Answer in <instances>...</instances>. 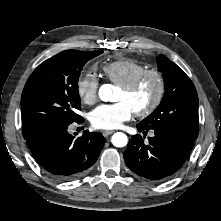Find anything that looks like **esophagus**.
<instances>
[{"label":"esophagus","instance_id":"esophagus-1","mask_svg":"<svg viewBox=\"0 0 221 221\" xmlns=\"http://www.w3.org/2000/svg\"><path fill=\"white\" fill-rule=\"evenodd\" d=\"M112 133H114L113 130H110V131H103V132H102V135L105 136V137H107V136L111 135Z\"/></svg>","mask_w":221,"mask_h":221}]
</instances>
